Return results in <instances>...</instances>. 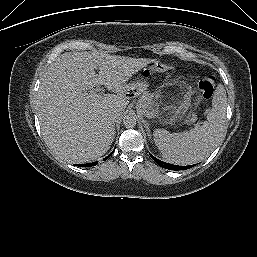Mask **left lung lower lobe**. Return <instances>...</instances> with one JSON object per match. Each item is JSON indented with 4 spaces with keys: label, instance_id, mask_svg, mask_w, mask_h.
<instances>
[{
    "label": "left lung lower lobe",
    "instance_id": "left-lung-lower-lobe-1",
    "mask_svg": "<svg viewBox=\"0 0 257 257\" xmlns=\"http://www.w3.org/2000/svg\"><path fill=\"white\" fill-rule=\"evenodd\" d=\"M150 154V153H149ZM150 156L152 157V159L161 167L165 168V169H169V170H186L189 169L195 165H189V166H178V165H173V164H168L165 163L163 161L158 160L157 158H155L154 156H152L150 154Z\"/></svg>",
    "mask_w": 257,
    "mask_h": 257
}]
</instances>
